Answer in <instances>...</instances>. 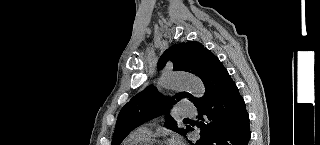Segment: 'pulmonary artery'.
Here are the masks:
<instances>
[{"mask_svg":"<svg viewBox=\"0 0 320 145\" xmlns=\"http://www.w3.org/2000/svg\"><path fill=\"white\" fill-rule=\"evenodd\" d=\"M186 103L184 101L180 102L178 106L176 107V113L179 116H193L196 114L197 110L194 107H188L185 105ZM139 133H142L144 135H147L149 137L152 136L151 126L150 124L142 125L137 128Z\"/></svg>","mask_w":320,"mask_h":145,"instance_id":"e3ab8cb5","label":"pulmonary artery"}]
</instances>
